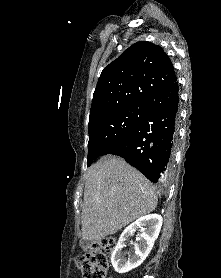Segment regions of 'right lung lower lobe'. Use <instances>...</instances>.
<instances>
[{
    "label": "right lung lower lobe",
    "mask_w": 221,
    "mask_h": 278,
    "mask_svg": "<svg viewBox=\"0 0 221 278\" xmlns=\"http://www.w3.org/2000/svg\"><path fill=\"white\" fill-rule=\"evenodd\" d=\"M177 80L146 99L147 112L125 136L110 144L101 155L123 157L150 181H164L169 173L178 122Z\"/></svg>",
    "instance_id": "1"
}]
</instances>
